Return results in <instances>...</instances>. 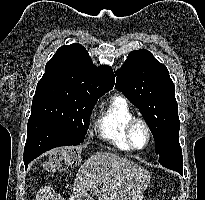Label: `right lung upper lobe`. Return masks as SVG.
<instances>
[{
	"instance_id": "right-lung-upper-lobe-1",
	"label": "right lung upper lobe",
	"mask_w": 205,
	"mask_h": 200,
	"mask_svg": "<svg viewBox=\"0 0 205 200\" xmlns=\"http://www.w3.org/2000/svg\"><path fill=\"white\" fill-rule=\"evenodd\" d=\"M40 81H57L83 89L99 98L115 83L111 67H96L87 50L80 44L61 46L47 62Z\"/></svg>"
}]
</instances>
